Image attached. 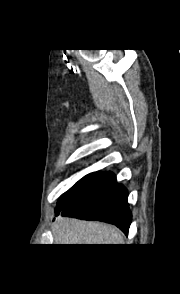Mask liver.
<instances>
[{
  "label": "liver",
  "instance_id": "1",
  "mask_svg": "<svg viewBox=\"0 0 180 294\" xmlns=\"http://www.w3.org/2000/svg\"><path fill=\"white\" fill-rule=\"evenodd\" d=\"M55 244H123V234L112 225L58 217L52 225Z\"/></svg>",
  "mask_w": 180,
  "mask_h": 294
}]
</instances>
